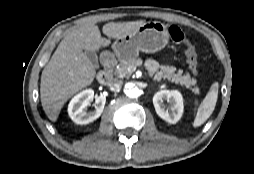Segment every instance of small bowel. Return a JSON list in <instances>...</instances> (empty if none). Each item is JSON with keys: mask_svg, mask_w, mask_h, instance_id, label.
<instances>
[{"mask_svg": "<svg viewBox=\"0 0 254 174\" xmlns=\"http://www.w3.org/2000/svg\"><path fill=\"white\" fill-rule=\"evenodd\" d=\"M146 66L152 71H155L158 68L157 62L152 59L146 61Z\"/></svg>", "mask_w": 254, "mask_h": 174, "instance_id": "c3829d8e", "label": "small bowel"}]
</instances>
